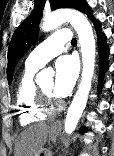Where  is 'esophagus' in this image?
Instances as JSON below:
<instances>
[{
	"label": "esophagus",
	"instance_id": "esophagus-1",
	"mask_svg": "<svg viewBox=\"0 0 114 156\" xmlns=\"http://www.w3.org/2000/svg\"><path fill=\"white\" fill-rule=\"evenodd\" d=\"M62 126L61 121H57L54 123L53 128H60Z\"/></svg>",
	"mask_w": 114,
	"mask_h": 156
}]
</instances>
